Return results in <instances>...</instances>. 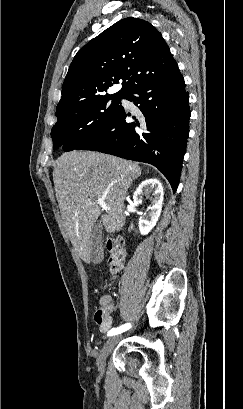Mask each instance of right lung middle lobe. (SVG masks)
I'll return each instance as SVG.
<instances>
[{"label":"right lung middle lobe","mask_w":243,"mask_h":409,"mask_svg":"<svg viewBox=\"0 0 243 409\" xmlns=\"http://www.w3.org/2000/svg\"><path fill=\"white\" fill-rule=\"evenodd\" d=\"M120 104L121 95H105L57 109V123L51 130L53 149L74 150L87 136L106 128L122 108Z\"/></svg>","instance_id":"obj_1"}]
</instances>
